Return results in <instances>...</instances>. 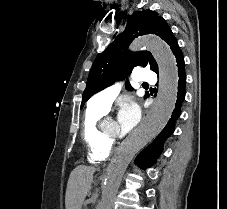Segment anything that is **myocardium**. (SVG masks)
<instances>
[{
    "label": "myocardium",
    "mask_w": 227,
    "mask_h": 209,
    "mask_svg": "<svg viewBox=\"0 0 227 209\" xmlns=\"http://www.w3.org/2000/svg\"><path fill=\"white\" fill-rule=\"evenodd\" d=\"M99 132H100V137L102 138V140L109 145L119 143L123 139V136H112V135L108 134L104 130V128H100Z\"/></svg>",
    "instance_id": "obj_1"
}]
</instances>
